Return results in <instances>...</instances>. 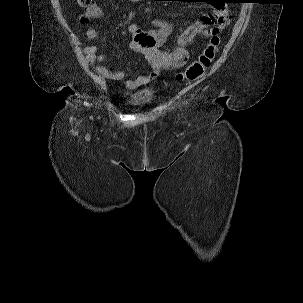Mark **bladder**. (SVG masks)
I'll return each instance as SVG.
<instances>
[{"instance_id": "bladder-1", "label": "bladder", "mask_w": 303, "mask_h": 303, "mask_svg": "<svg viewBox=\"0 0 303 303\" xmlns=\"http://www.w3.org/2000/svg\"><path fill=\"white\" fill-rule=\"evenodd\" d=\"M153 98L149 95L132 94L129 96L127 102L135 108L145 107L152 102Z\"/></svg>"}]
</instances>
